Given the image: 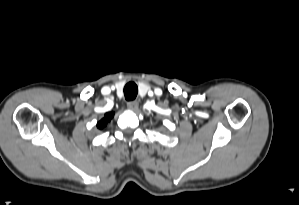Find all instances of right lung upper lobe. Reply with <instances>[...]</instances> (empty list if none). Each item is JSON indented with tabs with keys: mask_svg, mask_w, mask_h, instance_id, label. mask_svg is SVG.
Segmentation results:
<instances>
[{
	"mask_svg": "<svg viewBox=\"0 0 299 205\" xmlns=\"http://www.w3.org/2000/svg\"><path fill=\"white\" fill-rule=\"evenodd\" d=\"M113 117V113H107L105 114V117L98 122L97 127L99 129H102L104 126H106L107 122Z\"/></svg>",
	"mask_w": 299,
	"mask_h": 205,
	"instance_id": "cb5924a9",
	"label": "right lung upper lobe"
}]
</instances>
